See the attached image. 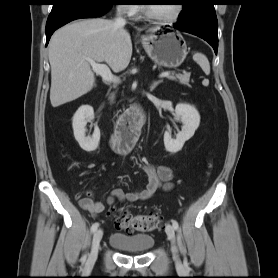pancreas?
<instances>
[{"label": "pancreas", "instance_id": "cf45deb5", "mask_svg": "<svg viewBox=\"0 0 278 278\" xmlns=\"http://www.w3.org/2000/svg\"><path fill=\"white\" fill-rule=\"evenodd\" d=\"M169 79L171 80H179V82L183 85H189L190 81V74L184 73V74H176L175 76H170ZM114 95L111 96V100H113Z\"/></svg>", "mask_w": 278, "mask_h": 278}]
</instances>
